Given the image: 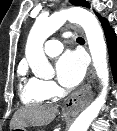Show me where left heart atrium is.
I'll return each mask as SVG.
<instances>
[{
	"mask_svg": "<svg viewBox=\"0 0 117 131\" xmlns=\"http://www.w3.org/2000/svg\"><path fill=\"white\" fill-rule=\"evenodd\" d=\"M57 78L65 87H74L84 78L86 61L84 56L71 51L63 54L56 63Z\"/></svg>",
	"mask_w": 117,
	"mask_h": 131,
	"instance_id": "left-heart-atrium-1",
	"label": "left heart atrium"
}]
</instances>
